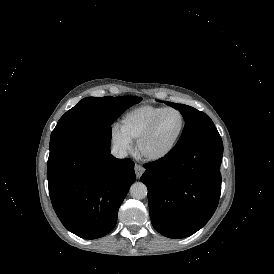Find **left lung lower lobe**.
<instances>
[{"label":"left lung lower lobe","instance_id":"left-lung-lower-lobe-1","mask_svg":"<svg viewBox=\"0 0 274 274\" xmlns=\"http://www.w3.org/2000/svg\"><path fill=\"white\" fill-rule=\"evenodd\" d=\"M221 139L202 141L144 165L153 227L169 238L188 237L215 212L221 193Z\"/></svg>","mask_w":274,"mask_h":274}]
</instances>
